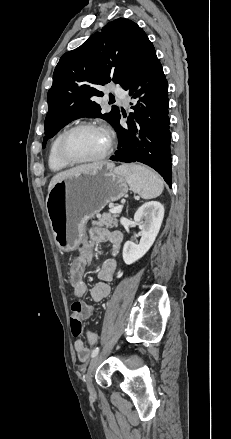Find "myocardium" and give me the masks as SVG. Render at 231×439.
Masks as SVG:
<instances>
[{
    "label": "myocardium",
    "instance_id": "myocardium-1",
    "mask_svg": "<svg viewBox=\"0 0 231 439\" xmlns=\"http://www.w3.org/2000/svg\"><path fill=\"white\" fill-rule=\"evenodd\" d=\"M82 129H98L105 132L108 138V142L105 150L100 155L88 159H76L68 153L66 148L68 138L74 132ZM113 146H114V137L112 132L107 127L95 122H82L68 128L62 133L58 141L57 151L61 160L67 163L68 165H81V164L95 163L105 159L112 152Z\"/></svg>",
    "mask_w": 231,
    "mask_h": 439
}]
</instances>
